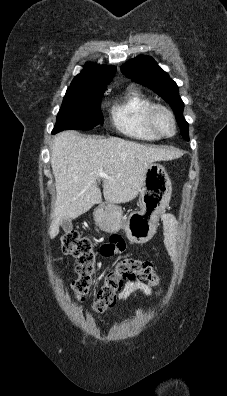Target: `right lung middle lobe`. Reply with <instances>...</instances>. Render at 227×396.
<instances>
[{
  "mask_svg": "<svg viewBox=\"0 0 227 396\" xmlns=\"http://www.w3.org/2000/svg\"><path fill=\"white\" fill-rule=\"evenodd\" d=\"M105 89L71 86L67 89L57 115L53 133L68 129L89 130L103 124L100 104Z\"/></svg>",
  "mask_w": 227,
  "mask_h": 396,
  "instance_id": "right-lung-middle-lobe-1",
  "label": "right lung middle lobe"
}]
</instances>
